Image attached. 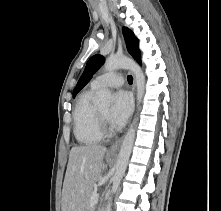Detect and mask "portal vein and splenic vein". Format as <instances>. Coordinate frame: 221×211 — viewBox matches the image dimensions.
<instances>
[{
	"mask_svg": "<svg viewBox=\"0 0 221 211\" xmlns=\"http://www.w3.org/2000/svg\"><path fill=\"white\" fill-rule=\"evenodd\" d=\"M98 199H99V194L94 193L91 197V205H95L98 202Z\"/></svg>",
	"mask_w": 221,
	"mask_h": 211,
	"instance_id": "portal-vein-and-splenic-vein-1",
	"label": "portal vein and splenic vein"
}]
</instances>
